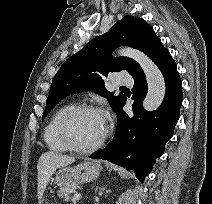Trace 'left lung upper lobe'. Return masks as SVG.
<instances>
[{
  "instance_id": "5c2ea615",
  "label": "left lung upper lobe",
  "mask_w": 212,
  "mask_h": 204,
  "mask_svg": "<svg viewBox=\"0 0 212 204\" xmlns=\"http://www.w3.org/2000/svg\"><path fill=\"white\" fill-rule=\"evenodd\" d=\"M122 45L139 49L152 60L165 49L145 20L125 16L107 33L92 39L61 66L53 79L43 118L62 98L83 90L95 91L107 97L116 111L126 97L123 94L114 96L106 90L103 78L115 71L126 70L132 77L142 71L133 59L111 56V52Z\"/></svg>"
}]
</instances>
